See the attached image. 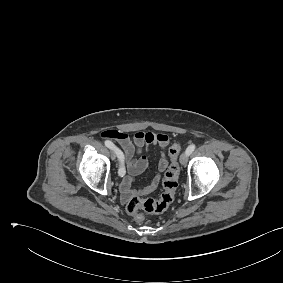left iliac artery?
<instances>
[{
    "instance_id": "1",
    "label": "left iliac artery",
    "mask_w": 283,
    "mask_h": 283,
    "mask_svg": "<svg viewBox=\"0 0 283 283\" xmlns=\"http://www.w3.org/2000/svg\"><path fill=\"white\" fill-rule=\"evenodd\" d=\"M195 148L196 146L194 144L189 145L186 149V153L190 155L195 150Z\"/></svg>"
}]
</instances>
